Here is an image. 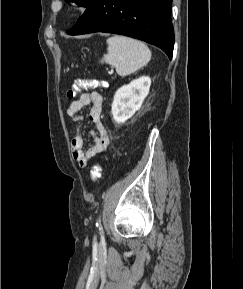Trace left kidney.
Instances as JSON below:
<instances>
[{"label": "left kidney", "instance_id": "obj_1", "mask_svg": "<svg viewBox=\"0 0 243 289\" xmlns=\"http://www.w3.org/2000/svg\"><path fill=\"white\" fill-rule=\"evenodd\" d=\"M151 79L140 77L119 88L113 99L111 113L117 123H124L140 109L149 93Z\"/></svg>", "mask_w": 243, "mask_h": 289}]
</instances>
